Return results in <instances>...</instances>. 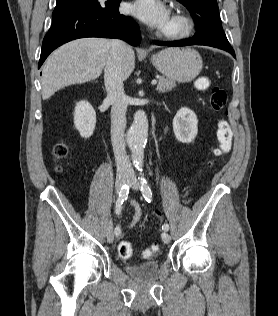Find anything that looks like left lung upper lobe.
Returning <instances> with one entry per match:
<instances>
[{"instance_id":"5c2ea615","label":"left lung upper lobe","mask_w":278,"mask_h":316,"mask_svg":"<svg viewBox=\"0 0 278 316\" xmlns=\"http://www.w3.org/2000/svg\"><path fill=\"white\" fill-rule=\"evenodd\" d=\"M197 23L193 38L205 43L232 48L222 28L216 0H178Z\"/></svg>"}]
</instances>
